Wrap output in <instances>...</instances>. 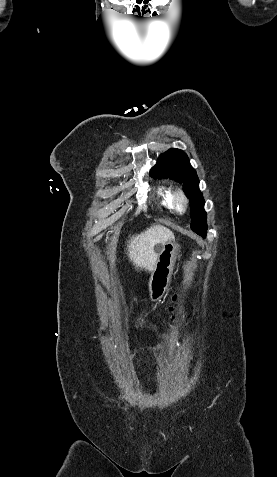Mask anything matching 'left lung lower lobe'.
I'll return each instance as SVG.
<instances>
[{"mask_svg":"<svg viewBox=\"0 0 277 477\" xmlns=\"http://www.w3.org/2000/svg\"><path fill=\"white\" fill-rule=\"evenodd\" d=\"M196 233L199 234V235H201V236H203V237L206 236V231H205L204 233H200V232H196Z\"/></svg>","mask_w":277,"mask_h":477,"instance_id":"left-lung-lower-lobe-1","label":"left lung lower lobe"}]
</instances>
